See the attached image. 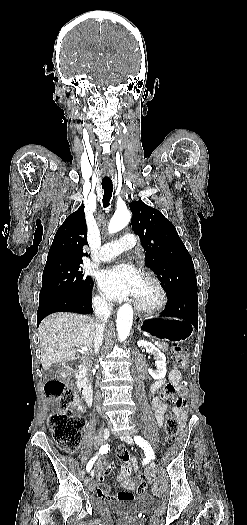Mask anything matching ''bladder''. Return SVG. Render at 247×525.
Returning <instances> with one entry per match:
<instances>
[{"label": "bladder", "mask_w": 247, "mask_h": 525, "mask_svg": "<svg viewBox=\"0 0 247 525\" xmlns=\"http://www.w3.org/2000/svg\"><path fill=\"white\" fill-rule=\"evenodd\" d=\"M156 504V497L146 492L133 498L114 499L110 511L120 517L141 516Z\"/></svg>", "instance_id": "obj_1"}]
</instances>
